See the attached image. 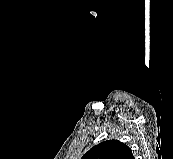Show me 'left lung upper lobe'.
I'll return each instance as SVG.
<instances>
[{
	"label": "left lung upper lobe",
	"mask_w": 173,
	"mask_h": 159,
	"mask_svg": "<svg viewBox=\"0 0 173 159\" xmlns=\"http://www.w3.org/2000/svg\"><path fill=\"white\" fill-rule=\"evenodd\" d=\"M81 159H134V156L124 143L109 140L92 147Z\"/></svg>",
	"instance_id": "obj_1"
}]
</instances>
